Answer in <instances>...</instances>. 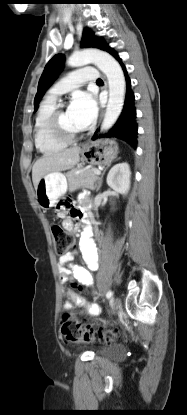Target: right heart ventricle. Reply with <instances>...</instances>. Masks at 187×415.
<instances>
[{"mask_svg":"<svg viewBox=\"0 0 187 415\" xmlns=\"http://www.w3.org/2000/svg\"><path fill=\"white\" fill-rule=\"evenodd\" d=\"M56 101L46 98L37 111L34 122V141L36 148L45 155L62 151L67 144L55 139L49 132L48 122L56 109Z\"/></svg>","mask_w":187,"mask_h":415,"instance_id":"1","label":"right heart ventricle"}]
</instances>
